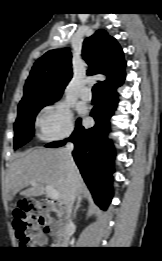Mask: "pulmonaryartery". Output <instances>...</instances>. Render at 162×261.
I'll use <instances>...</instances> for the list:
<instances>
[{
    "instance_id": "e3ab8cb5",
    "label": "pulmonary artery",
    "mask_w": 162,
    "mask_h": 261,
    "mask_svg": "<svg viewBox=\"0 0 162 261\" xmlns=\"http://www.w3.org/2000/svg\"><path fill=\"white\" fill-rule=\"evenodd\" d=\"M79 96L81 99L85 100V101H89L92 99V92L91 89L89 87H84L81 89Z\"/></svg>"
}]
</instances>
